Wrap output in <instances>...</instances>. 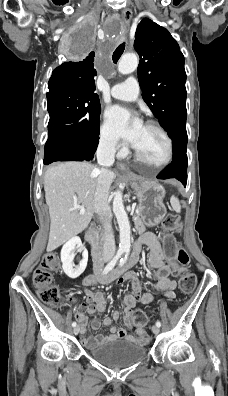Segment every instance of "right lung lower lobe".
<instances>
[{"label": "right lung lower lobe", "mask_w": 228, "mask_h": 396, "mask_svg": "<svg viewBox=\"0 0 228 396\" xmlns=\"http://www.w3.org/2000/svg\"><path fill=\"white\" fill-rule=\"evenodd\" d=\"M93 157L82 156L70 143L60 137L49 138L45 144L44 164L46 165L54 161H92Z\"/></svg>", "instance_id": "1"}]
</instances>
